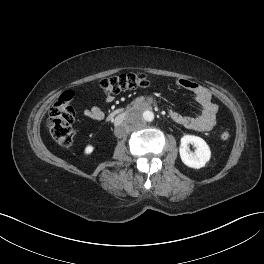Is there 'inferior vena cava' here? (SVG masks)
<instances>
[{
  "label": "inferior vena cava",
  "mask_w": 264,
  "mask_h": 264,
  "mask_svg": "<svg viewBox=\"0 0 264 264\" xmlns=\"http://www.w3.org/2000/svg\"><path fill=\"white\" fill-rule=\"evenodd\" d=\"M123 117H121V116H116V117H114V119H113V124H114V126H116L117 124H120V123H123Z\"/></svg>",
  "instance_id": "1"
}]
</instances>
